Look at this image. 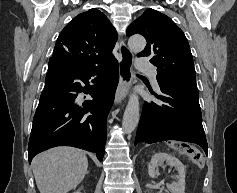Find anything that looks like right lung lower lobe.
Masks as SVG:
<instances>
[{
    "label": "right lung lower lobe",
    "instance_id": "98d812e1",
    "mask_svg": "<svg viewBox=\"0 0 237 193\" xmlns=\"http://www.w3.org/2000/svg\"><path fill=\"white\" fill-rule=\"evenodd\" d=\"M94 83V86L89 84ZM119 81L116 59L106 65L76 72L48 64L44 91L33 118L29 163L38 153L55 146H73L95 152L102 161L107 137L106 119ZM93 100L77 102L78 94Z\"/></svg>",
    "mask_w": 237,
    "mask_h": 193
}]
</instances>
